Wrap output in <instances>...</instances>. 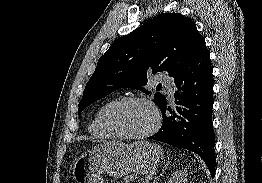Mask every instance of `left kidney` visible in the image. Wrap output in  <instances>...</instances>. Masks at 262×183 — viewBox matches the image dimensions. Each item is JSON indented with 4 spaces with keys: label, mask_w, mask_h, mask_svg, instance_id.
<instances>
[{
    "label": "left kidney",
    "mask_w": 262,
    "mask_h": 183,
    "mask_svg": "<svg viewBox=\"0 0 262 183\" xmlns=\"http://www.w3.org/2000/svg\"><path fill=\"white\" fill-rule=\"evenodd\" d=\"M167 183H187V172L183 170H176L168 179Z\"/></svg>",
    "instance_id": "5707ae66"
}]
</instances>
